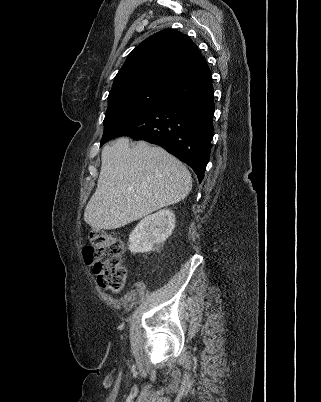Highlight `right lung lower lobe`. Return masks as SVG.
I'll list each match as a JSON object with an SVG mask.
<instances>
[{"label":"right lung lower lobe","instance_id":"right-lung-lower-lobe-1","mask_svg":"<svg viewBox=\"0 0 321 402\" xmlns=\"http://www.w3.org/2000/svg\"><path fill=\"white\" fill-rule=\"evenodd\" d=\"M214 111L212 73L206 67L174 83L162 102L116 137L162 146L188 164L201 182L210 157Z\"/></svg>","mask_w":321,"mask_h":402}]
</instances>
